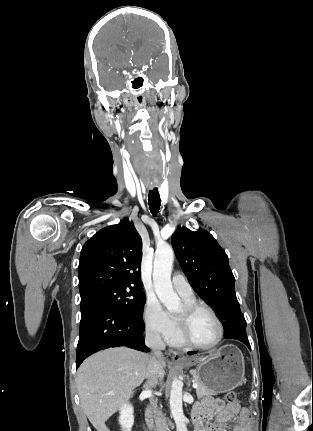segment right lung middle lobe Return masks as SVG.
Returning <instances> with one entry per match:
<instances>
[{"label":"right lung middle lobe","instance_id":"dd1d6c3e","mask_svg":"<svg viewBox=\"0 0 313 431\" xmlns=\"http://www.w3.org/2000/svg\"><path fill=\"white\" fill-rule=\"evenodd\" d=\"M142 290L139 287L129 285L101 289L93 294L81 297V311L96 304H103L142 319L146 302V297Z\"/></svg>","mask_w":313,"mask_h":431}]
</instances>
